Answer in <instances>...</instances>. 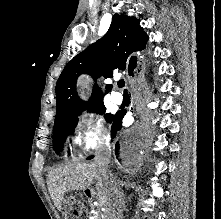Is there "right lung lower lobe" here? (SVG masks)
Instances as JSON below:
<instances>
[{
    "instance_id": "1",
    "label": "right lung lower lobe",
    "mask_w": 221,
    "mask_h": 219,
    "mask_svg": "<svg viewBox=\"0 0 221 219\" xmlns=\"http://www.w3.org/2000/svg\"><path fill=\"white\" fill-rule=\"evenodd\" d=\"M125 114H126V111H119L115 114L114 119L112 121V126H111L112 138H114L116 132L122 128V119ZM132 150H133L132 146L124 143L123 141H120L119 139H116V141H115V154L118 155L119 157H121V159L123 157L127 156ZM93 157L94 156L92 155V156L88 157V159H92Z\"/></svg>"
}]
</instances>
